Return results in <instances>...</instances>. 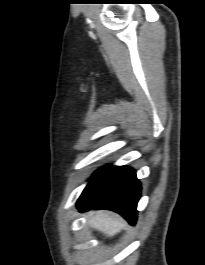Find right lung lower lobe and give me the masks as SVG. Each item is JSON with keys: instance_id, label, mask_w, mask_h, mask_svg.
<instances>
[{"instance_id": "right-lung-lower-lobe-1", "label": "right lung lower lobe", "mask_w": 205, "mask_h": 265, "mask_svg": "<svg viewBox=\"0 0 205 265\" xmlns=\"http://www.w3.org/2000/svg\"><path fill=\"white\" fill-rule=\"evenodd\" d=\"M140 195L141 185L132 168L107 165L90 178L76 206L81 212L109 209L135 224Z\"/></svg>"}]
</instances>
